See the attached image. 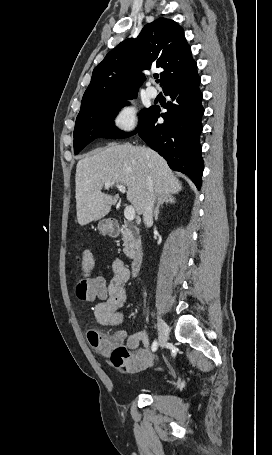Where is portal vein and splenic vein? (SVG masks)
Here are the masks:
<instances>
[{"mask_svg":"<svg viewBox=\"0 0 272 455\" xmlns=\"http://www.w3.org/2000/svg\"><path fill=\"white\" fill-rule=\"evenodd\" d=\"M115 183L114 182H111V181H106L105 182V187H110V186H113ZM116 187L122 192V193H125L126 192V188L124 185L122 184H116ZM124 216L125 218L128 220V221H133L134 218H135V209L133 208V206H126L125 210H124Z\"/></svg>","mask_w":272,"mask_h":455,"instance_id":"obj_1","label":"portal vein and splenic vein"}]
</instances>
